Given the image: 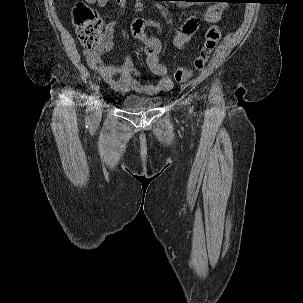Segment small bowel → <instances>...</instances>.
I'll return each mask as SVG.
<instances>
[{
	"label": "small bowel",
	"instance_id": "1",
	"mask_svg": "<svg viewBox=\"0 0 303 303\" xmlns=\"http://www.w3.org/2000/svg\"><path fill=\"white\" fill-rule=\"evenodd\" d=\"M91 4H95L99 8L105 7L113 2L119 10L126 6V0H87ZM221 2V1H216ZM141 4L136 5V9H140ZM226 6L222 3L210 5L204 13L202 19L206 23H213L219 20ZM145 26L152 27L160 31V24L153 19H143L136 17L131 22V33L135 38L144 43L146 51V62L149 70L154 76L160 77L157 84L146 81L139 82L135 77L140 76V72L136 69L132 58L124 55V63L119 66H110L103 62L102 55L112 48L111 36L115 30L116 23L111 22L106 26L103 41L93 50L85 52L86 60L89 67L100 75L105 83L114 90L127 93L135 91L145 94H154L159 91L168 90L172 87V79L168 75L166 64L161 60V44L155 37H149L145 33ZM199 28V20L195 16L189 17L177 30L174 36V46L178 49L187 45ZM118 76V78L116 77Z\"/></svg>",
	"mask_w": 303,
	"mask_h": 303
}]
</instances>
